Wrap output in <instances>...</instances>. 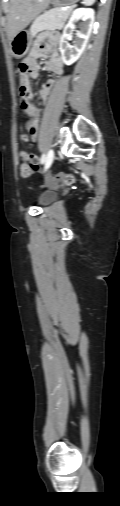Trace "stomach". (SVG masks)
<instances>
[{"mask_svg": "<svg viewBox=\"0 0 120 506\" xmlns=\"http://www.w3.org/2000/svg\"><path fill=\"white\" fill-rule=\"evenodd\" d=\"M79 0H51L56 7H71L75 5ZM33 35L30 31H20L11 41L10 47L12 54L16 59L23 58L29 51L32 44Z\"/></svg>", "mask_w": 120, "mask_h": 506, "instance_id": "1", "label": "stomach"}]
</instances>
